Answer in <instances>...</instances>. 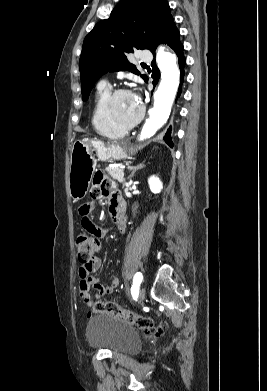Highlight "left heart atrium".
Returning a JSON list of instances; mask_svg holds the SVG:
<instances>
[{
  "label": "left heart atrium",
  "instance_id": "39dd6f15",
  "mask_svg": "<svg viewBox=\"0 0 267 391\" xmlns=\"http://www.w3.org/2000/svg\"><path fill=\"white\" fill-rule=\"evenodd\" d=\"M133 96H134L136 102L139 104V98L136 95H133Z\"/></svg>",
  "mask_w": 267,
  "mask_h": 391
}]
</instances>
